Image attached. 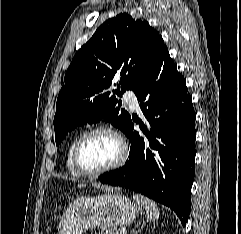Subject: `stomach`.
<instances>
[{
	"mask_svg": "<svg viewBox=\"0 0 241 234\" xmlns=\"http://www.w3.org/2000/svg\"><path fill=\"white\" fill-rule=\"evenodd\" d=\"M138 206L119 193H104L76 199L60 223L59 234H83L97 227L116 228L131 223Z\"/></svg>",
	"mask_w": 241,
	"mask_h": 234,
	"instance_id": "1",
	"label": "stomach"
}]
</instances>
